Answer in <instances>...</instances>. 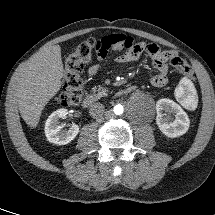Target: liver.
Here are the masks:
<instances>
[{"instance_id":"liver-1","label":"liver","mask_w":215,"mask_h":215,"mask_svg":"<svg viewBox=\"0 0 215 215\" xmlns=\"http://www.w3.org/2000/svg\"><path fill=\"white\" fill-rule=\"evenodd\" d=\"M62 77L63 64L59 45L40 49L16 73L14 84L18 107L29 127H37L42 110L60 90Z\"/></svg>"}]
</instances>
